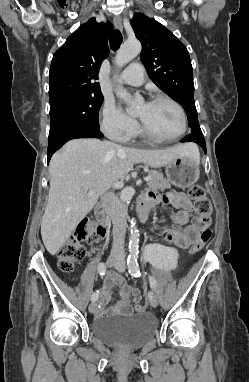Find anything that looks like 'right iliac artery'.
<instances>
[{
	"label": "right iliac artery",
	"mask_w": 249,
	"mask_h": 382,
	"mask_svg": "<svg viewBox=\"0 0 249 382\" xmlns=\"http://www.w3.org/2000/svg\"><path fill=\"white\" fill-rule=\"evenodd\" d=\"M98 272L100 274L101 277H103L105 275V272H106V266L104 263H99L98 265ZM99 297V291H95L92 296H91V300L92 301H96Z\"/></svg>",
	"instance_id": "right-iliac-artery-1"
}]
</instances>
